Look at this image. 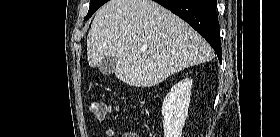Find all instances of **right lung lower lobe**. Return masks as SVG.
<instances>
[{
  "label": "right lung lower lobe",
  "instance_id": "obj_1",
  "mask_svg": "<svg viewBox=\"0 0 280 137\" xmlns=\"http://www.w3.org/2000/svg\"><path fill=\"white\" fill-rule=\"evenodd\" d=\"M185 20L200 33L222 61L217 0H154Z\"/></svg>",
  "mask_w": 280,
  "mask_h": 137
}]
</instances>
